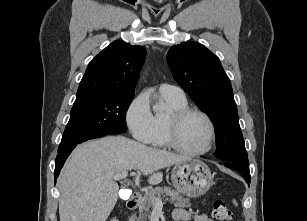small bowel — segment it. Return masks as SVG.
Returning a JSON list of instances; mask_svg holds the SVG:
<instances>
[{
	"mask_svg": "<svg viewBox=\"0 0 307 221\" xmlns=\"http://www.w3.org/2000/svg\"><path fill=\"white\" fill-rule=\"evenodd\" d=\"M172 217L175 221H213L205 214H197L192 216L184 208H176L172 212Z\"/></svg>",
	"mask_w": 307,
	"mask_h": 221,
	"instance_id": "small-bowel-1",
	"label": "small bowel"
}]
</instances>
